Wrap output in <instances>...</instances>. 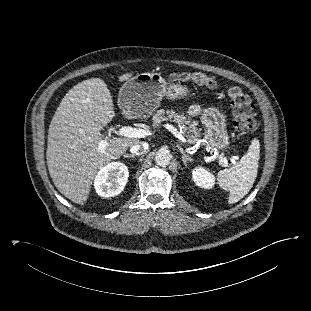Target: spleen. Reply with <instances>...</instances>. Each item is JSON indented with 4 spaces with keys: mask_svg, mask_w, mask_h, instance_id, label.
Masks as SVG:
<instances>
[{
    "mask_svg": "<svg viewBox=\"0 0 311 311\" xmlns=\"http://www.w3.org/2000/svg\"><path fill=\"white\" fill-rule=\"evenodd\" d=\"M260 143L254 138L239 164L218 172L219 186L229 191L228 203L233 204L248 194L257 177Z\"/></svg>",
    "mask_w": 311,
    "mask_h": 311,
    "instance_id": "obj_1",
    "label": "spleen"
}]
</instances>
